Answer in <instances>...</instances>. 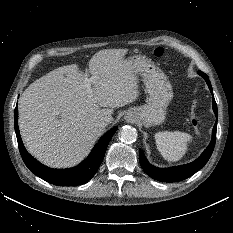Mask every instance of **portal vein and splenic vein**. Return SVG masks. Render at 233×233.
<instances>
[{
	"label": "portal vein and splenic vein",
	"instance_id": "portal-vein-and-splenic-vein-1",
	"mask_svg": "<svg viewBox=\"0 0 233 233\" xmlns=\"http://www.w3.org/2000/svg\"><path fill=\"white\" fill-rule=\"evenodd\" d=\"M91 83H92V79L88 78L85 80V89L86 91L91 94L92 93V89H91Z\"/></svg>",
	"mask_w": 233,
	"mask_h": 233
}]
</instances>
